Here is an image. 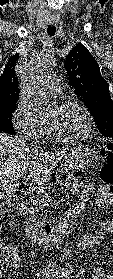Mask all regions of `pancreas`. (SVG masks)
Masks as SVG:
<instances>
[{
	"mask_svg": "<svg viewBox=\"0 0 113 279\" xmlns=\"http://www.w3.org/2000/svg\"><path fill=\"white\" fill-rule=\"evenodd\" d=\"M67 182L72 186V191L74 193H78L82 188L80 179L73 175H68ZM49 201V196L45 190L36 191V193L30 197L28 205L32 210L31 221L34 226H45L49 223L46 212L44 211V208L49 205Z\"/></svg>",
	"mask_w": 113,
	"mask_h": 279,
	"instance_id": "pancreas-1",
	"label": "pancreas"
}]
</instances>
